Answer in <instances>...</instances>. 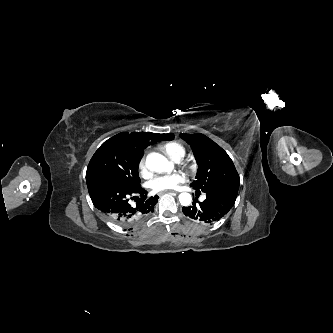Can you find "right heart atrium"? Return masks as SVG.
<instances>
[{"label":"right heart atrium","mask_w":333,"mask_h":333,"mask_svg":"<svg viewBox=\"0 0 333 333\" xmlns=\"http://www.w3.org/2000/svg\"><path fill=\"white\" fill-rule=\"evenodd\" d=\"M139 169L143 174H147L148 170H147V165H146V161L145 159H142L139 163Z\"/></svg>","instance_id":"d8ad5b80"}]
</instances>
